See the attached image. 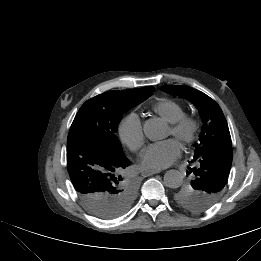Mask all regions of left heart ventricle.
Instances as JSON below:
<instances>
[{
    "label": "left heart ventricle",
    "instance_id": "1",
    "mask_svg": "<svg viewBox=\"0 0 261 261\" xmlns=\"http://www.w3.org/2000/svg\"><path fill=\"white\" fill-rule=\"evenodd\" d=\"M168 135H173L171 128H169Z\"/></svg>",
    "mask_w": 261,
    "mask_h": 261
}]
</instances>
